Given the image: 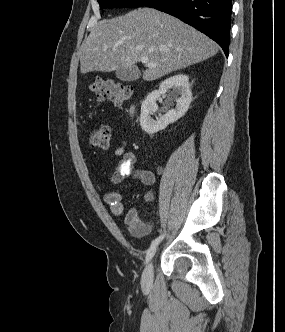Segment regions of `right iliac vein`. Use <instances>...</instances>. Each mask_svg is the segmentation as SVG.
Wrapping results in <instances>:
<instances>
[{"instance_id": "obj_1", "label": "right iliac vein", "mask_w": 285, "mask_h": 332, "mask_svg": "<svg viewBox=\"0 0 285 332\" xmlns=\"http://www.w3.org/2000/svg\"><path fill=\"white\" fill-rule=\"evenodd\" d=\"M153 278V262H149L146 266L143 275H142V282L143 284H150Z\"/></svg>"}]
</instances>
